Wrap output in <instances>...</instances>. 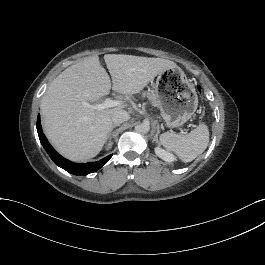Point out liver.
<instances>
[{"label": "liver", "mask_w": 265, "mask_h": 265, "mask_svg": "<svg viewBox=\"0 0 265 265\" xmlns=\"http://www.w3.org/2000/svg\"><path fill=\"white\" fill-rule=\"evenodd\" d=\"M104 61L113 85L99 57L94 56L61 72L41 101L42 124L49 141L72 161L96 156L114 126L112 114L128 107L122 100L113 107L99 108L111 89L125 97L134 96L164 71L178 69L174 62L161 58L110 54ZM81 100L92 104L84 107Z\"/></svg>", "instance_id": "liver-1"}]
</instances>
